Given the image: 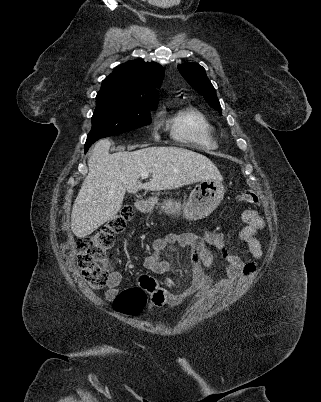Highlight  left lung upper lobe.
Instances as JSON below:
<instances>
[{"instance_id":"left-lung-upper-lobe-1","label":"left lung upper lobe","mask_w":321,"mask_h":402,"mask_svg":"<svg viewBox=\"0 0 321 402\" xmlns=\"http://www.w3.org/2000/svg\"><path fill=\"white\" fill-rule=\"evenodd\" d=\"M184 79L204 97L206 102L219 113L222 112L216 90L208 79L202 66L197 63H184L178 66Z\"/></svg>"}]
</instances>
